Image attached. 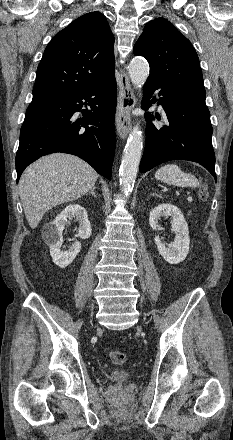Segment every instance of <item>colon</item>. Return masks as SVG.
Here are the masks:
<instances>
[{
  "mask_svg": "<svg viewBox=\"0 0 233 440\" xmlns=\"http://www.w3.org/2000/svg\"><path fill=\"white\" fill-rule=\"evenodd\" d=\"M198 198L201 202L205 203L208 199V191L205 187H201L198 190ZM109 358L117 365H122L126 361V354L119 350H112L109 352Z\"/></svg>",
  "mask_w": 233,
  "mask_h": 440,
  "instance_id": "5ec220e1",
  "label": "colon"
}]
</instances>
